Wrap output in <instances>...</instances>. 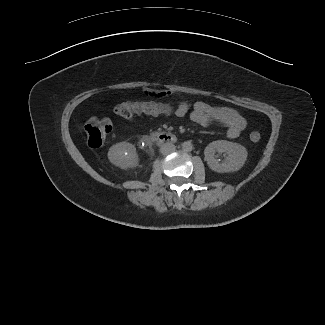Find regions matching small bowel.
Instances as JSON below:
<instances>
[{
    "mask_svg": "<svg viewBox=\"0 0 325 325\" xmlns=\"http://www.w3.org/2000/svg\"><path fill=\"white\" fill-rule=\"evenodd\" d=\"M147 94L153 98L176 96L178 98L176 104H170L175 109V117L183 118L189 115L193 123L203 127L216 123L221 124L227 128L226 134L230 139L237 138L246 125L239 112L229 107L212 106L202 101L191 105L179 92L171 89L149 91Z\"/></svg>",
    "mask_w": 325,
    "mask_h": 325,
    "instance_id": "small-bowel-1",
    "label": "small bowel"
}]
</instances>
